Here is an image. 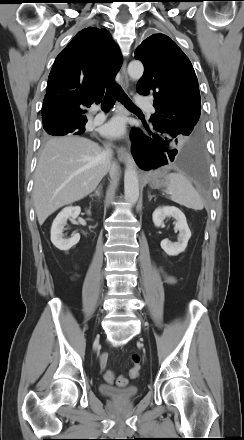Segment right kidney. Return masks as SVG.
<instances>
[{
  "label": "right kidney",
  "mask_w": 244,
  "mask_h": 440,
  "mask_svg": "<svg viewBox=\"0 0 244 440\" xmlns=\"http://www.w3.org/2000/svg\"><path fill=\"white\" fill-rule=\"evenodd\" d=\"M81 208L79 206H69L64 208L54 219L51 227V242L53 245L62 251H68L80 240L78 233L74 234L69 239L63 238V229L67 223V219H75L79 216ZM90 214V212H88Z\"/></svg>",
  "instance_id": "right-kidney-1"
}]
</instances>
